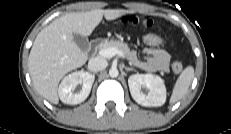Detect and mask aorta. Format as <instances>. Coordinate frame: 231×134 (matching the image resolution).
<instances>
[{
    "mask_svg": "<svg viewBox=\"0 0 231 134\" xmlns=\"http://www.w3.org/2000/svg\"><path fill=\"white\" fill-rule=\"evenodd\" d=\"M109 75H110V77H112V78H116V77L119 75L118 69L115 68V67H112V68L109 70Z\"/></svg>",
    "mask_w": 231,
    "mask_h": 134,
    "instance_id": "obj_1",
    "label": "aorta"
}]
</instances>
